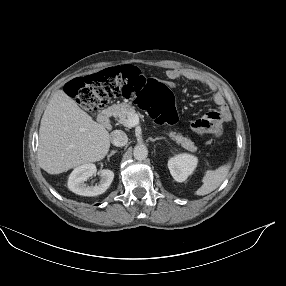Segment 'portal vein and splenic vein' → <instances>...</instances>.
I'll return each instance as SVG.
<instances>
[{"instance_id": "18ae733b", "label": "portal vein and splenic vein", "mask_w": 286, "mask_h": 286, "mask_svg": "<svg viewBox=\"0 0 286 286\" xmlns=\"http://www.w3.org/2000/svg\"><path fill=\"white\" fill-rule=\"evenodd\" d=\"M139 124V116L137 114H131L130 119H129V125L131 127L136 126Z\"/></svg>"}]
</instances>
